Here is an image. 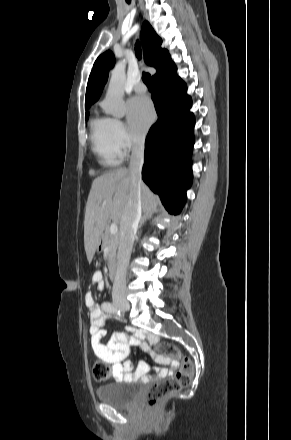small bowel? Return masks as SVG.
Returning a JSON list of instances; mask_svg holds the SVG:
<instances>
[{
  "instance_id": "1",
  "label": "small bowel",
  "mask_w": 291,
  "mask_h": 440,
  "mask_svg": "<svg viewBox=\"0 0 291 440\" xmlns=\"http://www.w3.org/2000/svg\"><path fill=\"white\" fill-rule=\"evenodd\" d=\"M91 281L99 289L104 288V281L100 272L94 273ZM84 299L90 314V344L92 350L99 359L111 365L112 374L116 379L148 382L156 377L171 375L178 368L179 363L177 359L160 360L155 358L157 363L163 364L166 367L156 368L149 371L147 363L141 361L136 370H134L133 363L125 361L130 353V344H141L143 350L148 351L149 346L142 341L147 338L150 344H155L158 341L157 336L152 333L147 334L143 331L134 334L114 331L110 337L108 345H104L102 340L107 334L104 329V324L112 317L108 311L109 304L104 303L102 307L97 306L90 292H86Z\"/></svg>"
}]
</instances>
